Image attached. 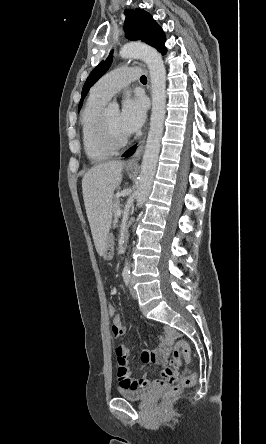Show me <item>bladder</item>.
Returning <instances> with one entry per match:
<instances>
[{
  "mask_svg": "<svg viewBox=\"0 0 266 444\" xmlns=\"http://www.w3.org/2000/svg\"><path fill=\"white\" fill-rule=\"evenodd\" d=\"M153 389V386H145L139 389H120L119 393L122 398L130 401H144L149 397Z\"/></svg>",
  "mask_w": 266,
  "mask_h": 444,
  "instance_id": "bladder-1",
  "label": "bladder"
}]
</instances>
